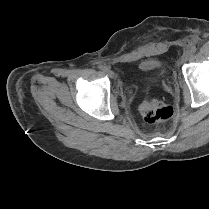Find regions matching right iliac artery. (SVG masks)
I'll use <instances>...</instances> for the list:
<instances>
[{"label":"right iliac artery","instance_id":"right-iliac-artery-1","mask_svg":"<svg viewBox=\"0 0 209 209\" xmlns=\"http://www.w3.org/2000/svg\"><path fill=\"white\" fill-rule=\"evenodd\" d=\"M99 68H100L101 70H103V71H105V69H106V67H105V66H102V65H100Z\"/></svg>","mask_w":209,"mask_h":209}]
</instances>
